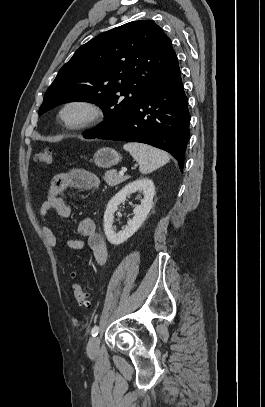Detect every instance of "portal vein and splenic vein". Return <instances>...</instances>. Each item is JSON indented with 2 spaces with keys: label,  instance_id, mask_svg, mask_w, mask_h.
Masks as SVG:
<instances>
[{
  "label": "portal vein and splenic vein",
  "instance_id": "18ae733b",
  "mask_svg": "<svg viewBox=\"0 0 265 407\" xmlns=\"http://www.w3.org/2000/svg\"><path fill=\"white\" fill-rule=\"evenodd\" d=\"M124 172H125L124 170H121V171L119 172V175H120V176H123V175H124Z\"/></svg>",
  "mask_w": 265,
  "mask_h": 407
}]
</instances>
